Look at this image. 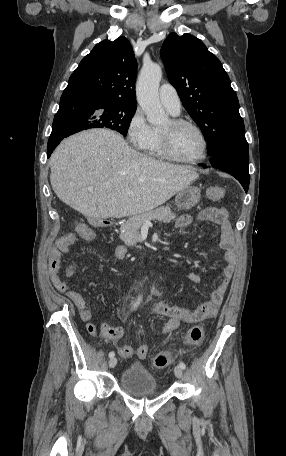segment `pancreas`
<instances>
[{"mask_svg": "<svg viewBox=\"0 0 286 456\" xmlns=\"http://www.w3.org/2000/svg\"><path fill=\"white\" fill-rule=\"evenodd\" d=\"M176 219V215L171 211L169 206H162L155 210H151L129 218L120 227V239L128 246H135L142 242L139 233L140 227L146 220H156L159 222L169 223Z\"/></svg>", "mask_w": 286, "mask_h": 456, "instance_id": "cf45deb5", "label": "pancreas"}]
</instances>
